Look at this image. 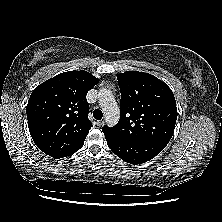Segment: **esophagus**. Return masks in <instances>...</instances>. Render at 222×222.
<instances>
[{
  "instance_id": "1",
  "label": "esophagus",
  "mask_w": 222,
  "mask_h": 222,
  "mask_svg": "<svg viewBox=\"0 0 222 222\" xmlns=\"http://www.w3.org/2000/svg\"><path fill=\"white\" fill-rule=\"evenodd\" d=\"M104 124V120H99V121H97V125L98 126H102Z\"/></svg>"
}]
</instances>
